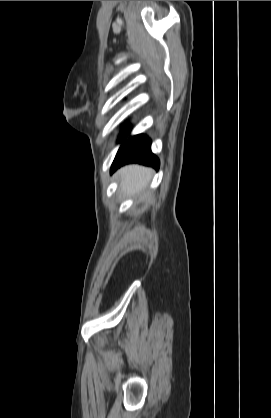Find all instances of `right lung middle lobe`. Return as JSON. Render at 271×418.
Returning a JSON list of instances; mask_svg holds the SVG:
<instances>
[{
    "label": "right lung middle lobe",
    "instance_id": "obj_1",
    "mask_svg": "<svg viewBox=\"0 0 271 418\" xmlns=\"http://www.w3.org/2000/svg\"><path fill=\"white\" fill-rule=\"evenodd\" d=\"M126 130H127V129H124V130L122 131V133H124Z\"/></svg>",
    "mask_w": 271,
    "mask_h": 418
}]
</instances>
